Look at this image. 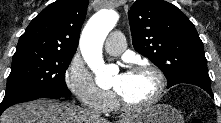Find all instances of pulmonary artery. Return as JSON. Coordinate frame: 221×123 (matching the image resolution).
Segmentation results:
<instances>
[{
  "mask_svg": "<svg viewBox=\"0 0 221 123\" xmlns=\"http://www.w3.org/2000/svg\"><path fill=\"white\" fill-rule=\"evenodd\" d=\"M125 38L124 35L119 32L115 31L112 32L105 41V50L111 55H118L125 49Z\"/></svg>",
  "mask_w": 221,
  "mask_h": 123,
  "instance_id": "e3ab8cb5",
  "label": "pulmonary artery"
}]
</instances>
